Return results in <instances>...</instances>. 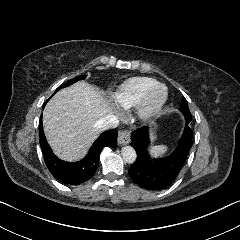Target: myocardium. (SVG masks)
<instances>
[{
	"mask_svg": "<svg viewBox=\"0 0 240 240\" xmlns=\"http://www.w3.org/2000/svg\"><path fill=\"white\" fill-rule=\"evenodd\" d=\"M168 98V90L164 84L157 83L148 90L138 104L136 118L140 123H149L155 118Z\"/></svg>",
	"mask_w": 240,
	"mask_h": 240,
	"instance_id": "1",
	"label": "myocardium"
}]
</instances>
